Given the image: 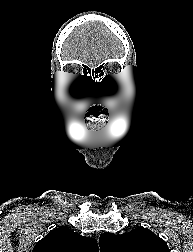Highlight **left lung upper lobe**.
Here are the masks:
<instances>
[{
	"instance_id": "obj_1",
	"label": "left lung upper lobe",
	"mask_w": 193,
	"mask_h": 252,
	"mask_svg": "<svg viewBox=\"0 0 193 252\" xmlns=\"http://www.w3.org/2000/svg\"><path fill=\"white\" fill-rule=\"evenodd\" d=\"M100 252H170L167 243L147 228H135L123 235L104 233Z\"/></svg>"
}]
</instances>
